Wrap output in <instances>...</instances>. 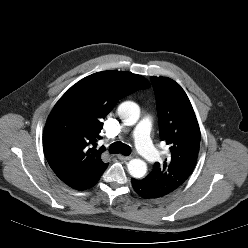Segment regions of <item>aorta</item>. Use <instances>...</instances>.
<instances>
[{
    "label": "aorta",
    "instance_id": "1",
    "mask_svg": "<svg viewBox=\"0 0 248 248\" xmlns=\"http://www.w3.org/2000/svg\"><path fill=\"white\" fill-rule=\"evenodd\" d=\"M117 111L119 117L128 126L134 125L140 117V108L132 101L121 103ZM127 167L130 175L134 178H142L147 172V164L141 159H132Z\"/></svg>",
    "mask_w": 248,
    "mask_h": 248
}]
</instances>
